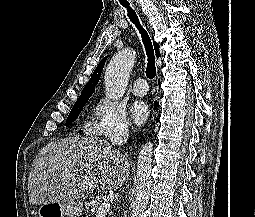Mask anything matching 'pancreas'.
I'll return each mask as SVG.
<instances>
[{"label": "pancreas", "mask_w": 255, "mask_h": 217, "mask_svg": "<svg viewBox=\"0 0 255 217\" xmlns=\"http://www.w3.org/2000/svg\"><path fill=\"white\" fill-rule=\"evenodd\" d=\"M101 201L99 199L92 198L91 201L85 203V208L89 216L93 217L97 212ZM113 217V216H111Z\"/></svg>", "instance_id": "pancreas-1"}]
</instances>
